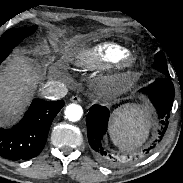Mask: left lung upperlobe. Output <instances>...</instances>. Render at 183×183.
<instances>
[{
  "mask_svg": "<svg viewBox=\"0 0 183 183\" xmlns=\"http://www.w3.org/2000/svg\"><path fill=\"white\" fill-rule=\"evenodd\" d=\"M153 68L157 69L158 71L162 72L165 75H169L167 69V61L162 51L158 52L155 55Z\"/></svg>",
  "mask_w": 183,
  "mask_h": 183,
  "instance_id": "obj_1",
  "label": "left lung upper lobe"
}]
</instances>
